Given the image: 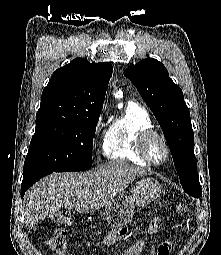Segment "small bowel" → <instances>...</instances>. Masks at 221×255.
Segmentation results:
<instances>
[{"label": "small bowel", "instance_id": "c3829d8e", "mask_svg": "<svg viewBox=\"0 0 221 255\" xmlns=\"http://www.w3.org/2000/svg\"><path fill=\"white\" fill-rule=\"evenodd\" d=\"M128 230L127 228H119L107 234L101 241L102 246L109 247L116 244L124 236H126ZM148 237L138 240L133 246H131L126 252L122 255H138L143 247L146 245ZM170 243L164 242L158 247H153L150 255H169Z\"/></svg>", "mask_w": 221, "mask_h": 255}]
</instances>
